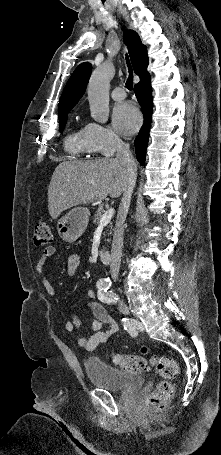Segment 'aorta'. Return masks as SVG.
Listing matches in <instances>:
<instances>
[{"label": "aorta", "instance_id": "762f6f07", "mask_svg": "<svg viewBox=\"0 0 221 455\" xmlns=\"http://www.w3.org/2000/svg\"><path fill=\"white\" fill-rule=\"evenodd\" d=\"M113 66L109 63L96 69L88 83V100L91 117L100 123H105L109 116V83L113 77Z\"/></svg>", "mask_w": 221, "mask_h": 455}]
</instances>
